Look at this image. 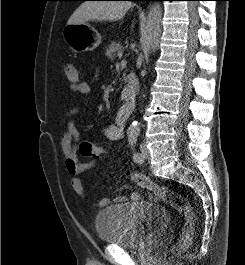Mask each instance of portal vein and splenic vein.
<instances>
[{
    "mask_svg": "<svg viewBox=\"0 0 245 265\" xmlns=\"http://www.w3.org/2000/svg\"><path fill=\"white\" fill-rule=\"evenodd\" d=\"M122 55H123V53L120 51V52H118V57L119 58H122Z\"/></svg>",
    "mask_w": 245,
    "mask_h": 265,
    "instance_id": "portal-vein-and-splenic-vein-1",
    "label": "portal vein and splenic vein"
}]
</instances>
